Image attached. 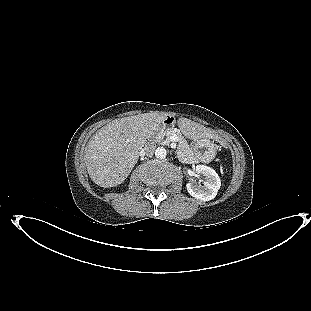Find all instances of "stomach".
<instances>
[{
  "label": "stomach",
  "mask_w": 311,
  "mask_h": 311,
  "mask_svg": "<svg viewBox=\"0 0 311 311\" xmlns=\"http://www.w3.org/2000/svg\"><path fill=\"white\" fill-rule=\"evenodd\" d=\"M181 131L185 136L193 139V152L200 160L209 162L214 159L216 147L209 139L193 137L191 132Z\"/></svg>",
  "instance_id": "1"
}]
</instances>
